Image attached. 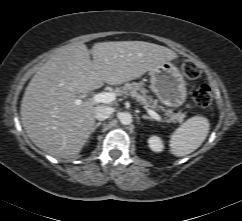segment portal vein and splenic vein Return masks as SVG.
I'll list each match as a JSON object with an SVG mask.
<instances>
[{"mask_svg":"<svg viewBox=\"0 0 242 221\" xmlns=\"http://www.w3.org/2000/svg\"><path fill=\"white\" fill-rule=\"evenodd\" d=\"M117 94L115 92H102L95 94L92 98L91 101L94 103H110L116 100ZM147 113L156 121L161 122L162 118L160 117L159 114H157L154 110L147 108Z\"/></svg>","mask_w":242,"mask_h":221,"instance_id":"portal-vein-and-splenic-vein-1","label":"portal vein and splenic vein"}]
</instances>
